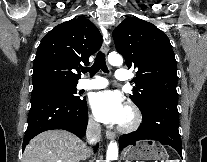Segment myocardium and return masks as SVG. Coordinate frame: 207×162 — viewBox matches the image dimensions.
Instances as JSON below:
<instances>
[{"instance_id": "1", "label": "myocardium", "mask_w": 207, "mask_h": 162, "mask_svg": "<svg viewBox=\"0 0 207 162\" xmlns=\"http://www.w3.org/2000/svg\"><path fill=\"white\" fill-rule=\"evenodd\" d=\"M126 109L129 112V120L125 123H120L118 126V130L123 133L136 130L142 122V114L135 104L129 103Z\"/></svg>"}]
</instances>
